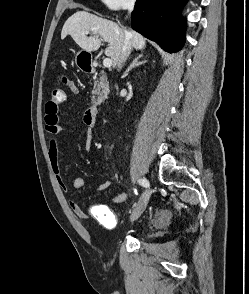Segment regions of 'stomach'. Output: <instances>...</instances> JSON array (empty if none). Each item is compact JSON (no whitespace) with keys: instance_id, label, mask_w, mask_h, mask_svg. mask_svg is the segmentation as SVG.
Listing matches in <instances>:
<instances>
[{"instance_id":"0dacf381","label":"stomach","mask_w":249,"mask_h":294,"mask_svg":"<svg viewBox=\"0 0 249 294\" xmlns=\"http://www.w3.org/2000/svg\"><path fill=\"white\" fill-rule=\"evenodd\" d=\"M91 56L88 52L80 51L76 55V64L80 67L84 60L90 61Z\"/></svg>"}]
</instances>
